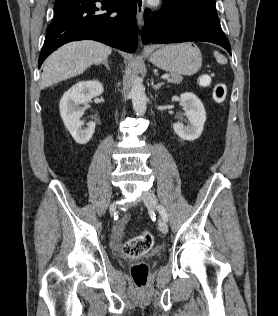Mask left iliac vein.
<instances>
[{
  "instance_id": "1",
  "label": "left iliac vein",
  "mask_w": 278,
  "mask_h": 316,
  "mask_svg": "<svg viewBox=\"0 0 278 316\" xmlns=\"http://www.w3.org/2000/svg\"><path fill=\"white\" fill-rule=\"evenodd\" d=\"M141 198H142L144 204L146 205V207L150 211L155 210V208L157 206V198H156L153 191L147 190V191L143 192L141 195ZM159 230L164 234H166L168 232L167 222L163 219L159 220Z\"/></svg>"
}]
</instances>
